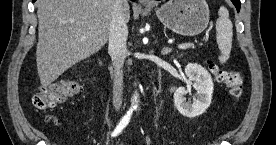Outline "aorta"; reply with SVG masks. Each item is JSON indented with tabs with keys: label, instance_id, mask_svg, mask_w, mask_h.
I'll list each match as a JSON object with an SVG mask.
<instances>
[{
	"label": "aorta",
	"instance_id": "obj_1",
	"mask_svg": "<svg viewBox=\"0 0 276 145\" xmlns=\"http://www.w3.org/2000/svg\"><path fill=\"white\" fill-rule=\"evenodd\" d=\"M137 103H138V96L135 95L134 98H133V104L137 105Z\"/></svg>",
	"mask_w": 276,
	"mask_h": 145
}]
</instances>
